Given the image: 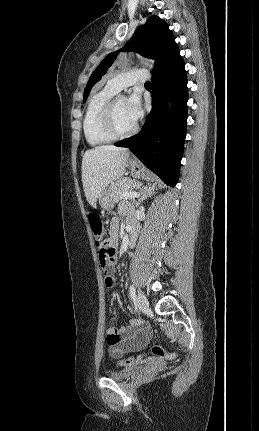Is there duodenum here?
Instances as JSON below:
<instances>
[{
  "label": "duodenum",
  "mask_w": 259,
  "mask_h": 431,
  "mask_svg": "<svg viewBox=\"0 0 259 431\" xmlns=\"http://www.w3.org/2000/svg\"><path fill=\"white\" fill-rule=\"evenodd\" d=\"M137 236L136 224L131 222L127 227V243L131 247L134 245Z\"/></svg>",
  "instance_id": "duodenum-1"
}]
</instances>
